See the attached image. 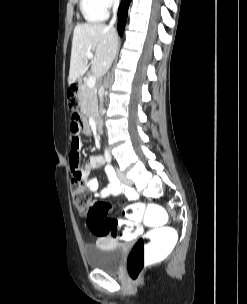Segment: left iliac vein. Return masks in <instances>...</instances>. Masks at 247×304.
I'll return each instance as SVG.
<instances>
[{
	"label": "left iliac vein",
	"mask_w": 247,
	"mask_h": 304,
	"mask_svg": "<svg viewBox=\"0 0 247 304\" xmlns=\"http://www.w3.org/2000/svg\"><path fill=\"white\" fill-rule=\"evenodd\" d=\"M116 172H117V176H118L119 180L123 184H125V185H132L133 184L132 180H130L129 178H127L126 175L123 172H121L118 169L116 170Z\"/></svg>",
	"instance_id": "obj_1"
}]
</instances>
